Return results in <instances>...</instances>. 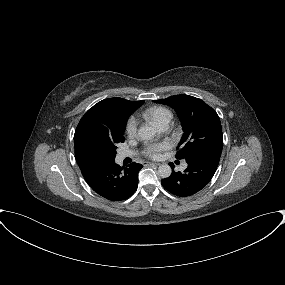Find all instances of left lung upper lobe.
<instances>
[{"instance_id":"obj_1","label":"left lung upper lobe","mask_w":285,"mask_h":285,"mask_svg":"<svg viewBox=\"0 0 285 285\" xmlns=\"http://www.w3.org/2000/svg\"><path fill=\"white\" fill-rule=\"evenodd\" d=\"M154 102L171 106L181 121L183 136L177 147V159H187L207 151L222 152L223 134L216 111L189 95H175Z\"/></svg>"}]
</instances>
